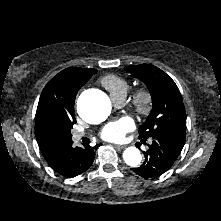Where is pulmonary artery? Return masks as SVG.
Here are the masks:
<instances>
[{"label":"pulmonary artery","mask_w":221,"mask_h":221,"mask_svg":"<svg viewBox=\"0 0 221 221\" xmlns=\"http://www.w3.org/2000/svg\"><path fill=\"white\" fill-rule=\"evenodd\" d=\"M112 102L115 106H121L125 102V96L117 95L111 97ZM87 133L84 131H73L72 137L74 141H79L82 137L86 136Z\"/></svg>","instance_id":"obj_1"}]
</instances>
